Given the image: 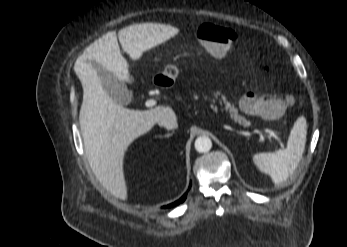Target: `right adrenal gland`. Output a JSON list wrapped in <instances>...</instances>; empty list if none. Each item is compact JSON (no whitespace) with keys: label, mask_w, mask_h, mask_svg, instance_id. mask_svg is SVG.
Wrapping results in <instances>:
<instances>
[{"label":"right adrenal gland","mask_w":347,"mask_h":247,"mask_svg":"<svg viewBox=\"0 0 347 247\" xmlns=\"http://www.w3.org/2000/svg\"><path fill=\"white\" fill-rule=\"evenodd\" d=\"M173 135V132L172 133H168V134H166V135H164V136H158L159 138H168V137H170V136H172Z\"/></svg>","instance_id":"1"}]
</instances>
